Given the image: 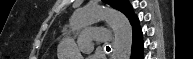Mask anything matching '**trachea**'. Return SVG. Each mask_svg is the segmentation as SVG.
Returning a JSON list of instances; mask_svg holds the SVG:
<instances>
[{"label":"trachea","mask_w":193,"mask_h":59,"mask_svg":"<svg viewBox=\"0 0 193 59\" xmlns=\"http://www.w3.org/2000/svg\"><path fill=\"white\" fill-rule=\"evenodd\" d=\"M106 50H107V51H110V47H109V46H106Z\"/></svg>","instance_id":"obj_1"}]
</instances>
